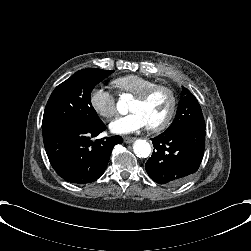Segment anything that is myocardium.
<instances>
[{"mask_svg":"<svg viewBox=\"0 0 251 251\" xmlns=\"http://www.w3.org/2000/svg\"><path fill=\"white\" fill-rule=\"evenodd\" d=\"M160 89H165L170 93L172 102H171L170 110L168 111L165 118L157 123L149 125V129L154 130V131L162 130L166 128L167 126H169V124L171 123L178 107V95H177L176 90L171 85H168V84L154 83L152 86L147 88L141 94L136 96V100H139L141 102H147L151 99L154 93Z\"/></svg>","mask_w":251,"mask_h":251,"instance_id":"1","label":"myocardium"}]
</instances>
